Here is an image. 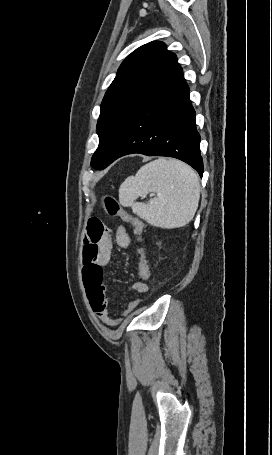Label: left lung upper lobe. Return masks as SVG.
<instances>
[{"mask_svg": "<svg viewBox=\"0 0 272 455\" xmlns=\"http://www.w3.org/2000/svg\"><path fill=\"white\" fill-rule=\"evenodd\" d=\"M180 73L176 55L159 41L137 48L123 61L101 104L93 168L99 169L128 123Z\"/></svg>", "mask_w": 272, "mask_h": 455, "instance_id": "1", "label": "left lung upper lobe"}]
</instances>
